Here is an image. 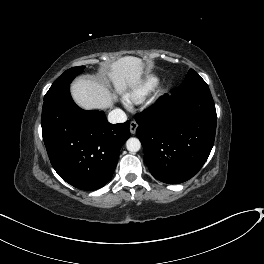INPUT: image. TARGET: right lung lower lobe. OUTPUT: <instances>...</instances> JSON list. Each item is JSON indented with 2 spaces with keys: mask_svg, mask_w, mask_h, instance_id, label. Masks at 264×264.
<instances>
[{
  "mask_svg": "<svg viewBox=\"0 0 264 264\" xmlns=\"http://www.w3.org/2000/svg\"><path fill=\"white\" fill-rule=\"evenodd\" d=\"M42 135L51 164L70 185L96 190L111 179L130 122L111 124L102 111H86L69 87L44 99Z\"/></svg>",
  "mask_w": 264,
  "mask_h": 264,
  "instance_id": "obj_1",
  "label": "right lung lower lobe"
}]
</instances>
